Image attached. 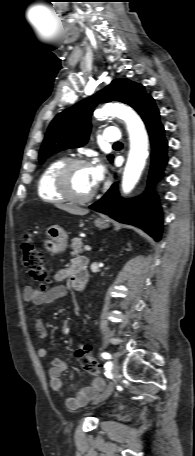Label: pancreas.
Instances as JSON below:
<instances>
[{
    "label": "pancreas",
    "instance_id": "cf45deb5",
    "mask_svg": "<svg viewBox=\"0 0 195 456\" xmlns=\"http://www.w3.org/2000/svg\"><path fill=\"white\" fill-rule=\"evenodd\" d=\"M82 245H83V242H82L81 238H73L72 243H71V249H72L71 254L78 255V254L82 253L83 252Z\"/></svg>",
    "mask_w": 195,
    "mask_h": 456
}]
</instances>
